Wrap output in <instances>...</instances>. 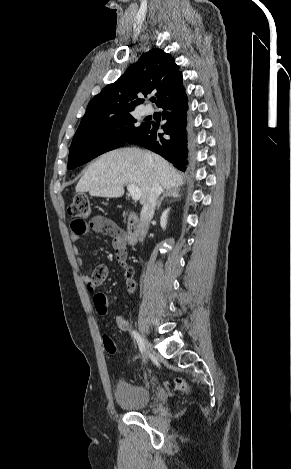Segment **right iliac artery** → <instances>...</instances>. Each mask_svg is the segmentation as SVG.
<instances>
[{
    "label": "right iliac artery",
    "mask_w": 291,
    "mask_h": 469,
    "mask_svg": "<svg viewBox=\"0 0 291 469\" xmlns=\"http://www.w3.org/2000/svg\"><path fill=\"white\" fill-rule=\"evenodd\" d=\"M132 335H133L134 339L137 341L141 353H143L144 343H143V340H142L141 336L136 331H132Z\"/></svg>",
    "instance_id": "right-iliac-artery-1"
}]
</instances>
